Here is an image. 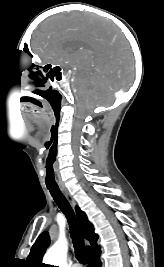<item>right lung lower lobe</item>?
I'll return each mask as SVG.
<instances>
[{
    "mask_svg": "<svg viewBox=\"0 0 164 267\" xmlns=\"http://www.w3.org/2000/svg\"><path fill=\"white\" fill-rule=\"evenodd\" d=\"M100 250L87 256V267H101Z\"/></svg>",
    "mask_w": 164,
    "mask_h": 267,
    "instance_id": "right-lung-lower-lobe-1",
    "label": "right lung lower lobe"
}]
</instances>
